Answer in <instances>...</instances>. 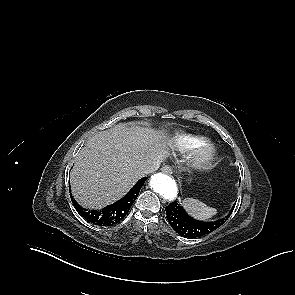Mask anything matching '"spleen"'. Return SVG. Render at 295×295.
I'll list each match as a JSON object with an SVG mask.
<instances>
[{
	"mask_svg": "<svg viewBox=\"0 0 295 295\" xmlns=\"http://www.w3.org/2000/svg\"><path fill=\"white\" fill-rule=\"evenodd\" d=\"M183 207L190 215L200 220L209 219L217 214L215 208L209 207L205 203L193 198L184 199Z\"/></svg>",
	"mask_w": 295,
	"mask_h": 295,
	"instance_id": "1",
	"label": "spleen"
}]
</instances>
